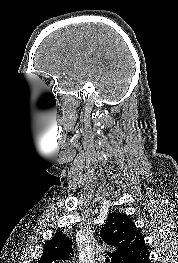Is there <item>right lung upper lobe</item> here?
<instances>
[{"label": "right lung upper lobe", "instance_id": "right-lung-upper-lobe-1", "mask_svg": "<svg viewBox=\"0 0 178 263\" xmlns=\"http://www.w3.org/2000/svg\"><path fill=\"white\" fill-rule=\"evenodd\" d=\"M100 236L105 243L115 248L114 252L107 253L111 257V263H134L147 251L142 234L124 213L109 214ZM71 246L72 241L62 232L57 233L45 245L38 263H53L68 258L72 252Z\"/></svg>", "mask_w": 178, "mask_h": 263}]
</instances>
